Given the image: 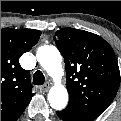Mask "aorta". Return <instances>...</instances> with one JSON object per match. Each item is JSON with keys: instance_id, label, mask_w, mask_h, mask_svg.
<instances>
[{"instance_id": "obj_1", "label": "aorta", "mask_w": 121, "mask_h": 121, "mask_svg": "<svg viewBox=\"0 0 121 121\" xmlns=\"http://www.w3.org/2000/svg\"><path fill=\"white\" fill-rule=\"evenodd\" d=\"M40 65L54 80H59L63 75L62 59L58 49L53 45L40 46L36 54ZM48 101L55 110H62L68 103L67 89L60 84L54 85L48 93Z\"/></svg>"}]
</instances>
